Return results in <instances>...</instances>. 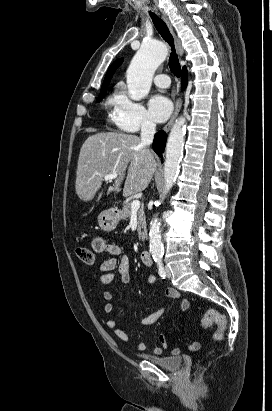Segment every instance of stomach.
Here are the masks:
<instances>
[{"mask_svg": "<svg viewBox=\"0 0 272 411\" xmlns=\"http://www.w3.org/2000/svg\"><path fill=\"white\" fill-rule=\"evenodd\" d=\"M119 221V215L113 210H105L98 215V224L106 232L114 230Z\"/></svg>", "mask_w": 272, "mask_h": 411, "instance_id": "stomach-1", "label": "stomach"}]
</instances>
